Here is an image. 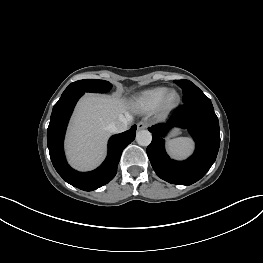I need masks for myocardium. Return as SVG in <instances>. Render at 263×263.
Segmentation results:
<instances>
[{"label": "myocardium", "instance_id": "f54148a6", "mask_svg": "<svg viewBox=\"0 0 263 263\" xmlns=\"http://www.w3.org/2000/svg\"><path fill=\"white\" fill-rule=\"evenodd\" d=\"M174 97V98H173ZM181 103V95L178 91L168 90L158 106L160 116H165L175 110Z\"/></svg>", "mask_w": 263, "mask_h": 263}]
</instances>
